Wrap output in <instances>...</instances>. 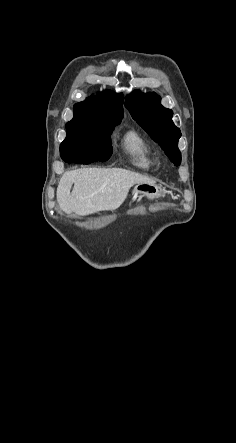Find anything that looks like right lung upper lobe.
Masks as SVG:
<instances>
[{
	"mask_svg": "<svg viewBox=\"0 0 236 443\" xmlns=\"http://www.w3.org/2000/svg\"><path fill=\"white\" fill-rule=\"evenodd\" d=\"M122 94H114L111 91L98 93L83 102L74 105V116H95L122 119L123 117Z\"/></svg>",
	"mask_w": 236,
	"mask_h": 443,
	"instance_id": "cb5924a9",
	"label": "right lung upper lobe"
}]
</instances>
